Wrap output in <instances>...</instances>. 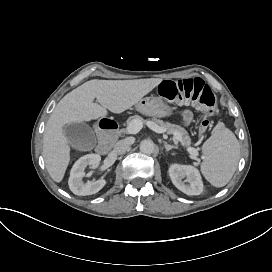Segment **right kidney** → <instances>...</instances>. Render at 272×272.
Returning <instances> with one entry per match:
<instances>
[{
	"instance_id": "ca27d5eb",
	"label": "right kidney",
	"mask_w": 272,
	"mask_h": 272,
	"mask_svg": "<svg viewBox=\"0 0 272 272\" xmlns=\"http://www.w3.org/2000/svg\"><path fill=\"white\" fill-rule=\"evenodd\" d=\"M100 161L101 156L99 154H87L75 162L70 171V177L68 180L69 188L75 195H92L105 186L106 181L103 179L87 181L86 183L82 181V178L85 176V168L90 166L94 169L98 166Z\"/></svg>"
}]
</instances>
